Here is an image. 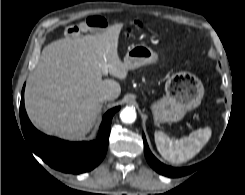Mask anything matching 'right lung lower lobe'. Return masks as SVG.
Listing matches in <instances>:
<instances>
[{"label":"right lung lower lobe","mask_w":245,"mask_h":195,"mask_svg":"<svg viewBox=\"0 0 245 195\" xmlns=\"http://www.w3.org/2000/svg\"><path fill=\"white\" fill-rule=\"evenodd\" d=\"M118 110L119 107L113 108L104 115L96 140L68 142L47 136L31 124L24 107L23 87L20 103V122L30 148L45 163L65 173L80 174L94 169L105 157L112 117Z\"/></svg>","instance_id":"98d812e1"}]
</instances>
